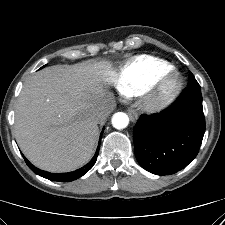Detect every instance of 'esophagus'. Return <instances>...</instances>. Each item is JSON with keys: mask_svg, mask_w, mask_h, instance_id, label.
I'll return each instance as SVG.
<instances>
[{"mask_svg": "<svg viewBox=\"0 0 225 225\" xmlns=\"http://www.w3.org/2000/svg\"><path fill=\"white\" fill-rule=\"evenodd\" d=\"M128 115L132 122H135L138 118V114H137L136 110H134L132 108L128 109Z\"/></svg>", "mask_w": 225, "mask_h": 225, "instance_id": "1", "label": "esophagus"}]
</instances>
